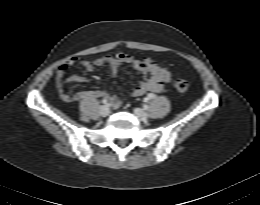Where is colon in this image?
I'll return each mask as SVG.
<instances>
[{
  "label": "colon",
  "mask_w": 260,
  "mask_h": 205,
  "mask_svg": "<svg viewBox=\"0 0 260 205\" xmlns=\"http://www.w3.org/2000/svg\"><path fill=\"white\" fill-rule=\"evenodd\" d=\"M173 85L180 92H184L189 88V83L184 79H175Z\"/></svg>",
  "instance_id": "obj_1"
}]
</instances>
